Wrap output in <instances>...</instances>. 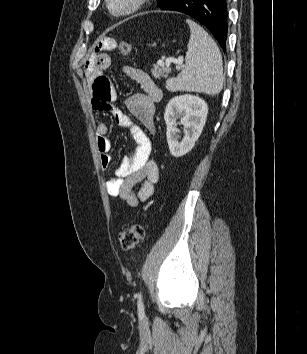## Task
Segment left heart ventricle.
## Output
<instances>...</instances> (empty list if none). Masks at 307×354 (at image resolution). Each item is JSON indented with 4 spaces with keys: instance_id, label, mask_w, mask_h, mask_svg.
Listing matches in <instances>:
<instances>
[{
    "instance_id": "b2bd125f",
    "label": "left heart ventricle",
    "mask_w": 307,
    "mask_h": 354,
    "mask_svg": "<svg viewBox=\"0 0 307 354\" xmlns=\"http://www.w3.org/2000/svg\"><path fill=\"white\" fill-rule=\"evenodd\" d=\"M128 1L129 0H114V8L116 10L123 9L127 5Z\"/></svg>"
}]
</instances>
